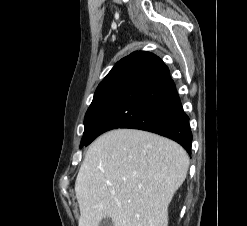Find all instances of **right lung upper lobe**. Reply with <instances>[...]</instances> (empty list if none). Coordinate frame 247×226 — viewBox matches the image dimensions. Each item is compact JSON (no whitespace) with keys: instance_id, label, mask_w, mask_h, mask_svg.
<instances>
[{"instance_id":"1","label":"right lung upper lobe","mask_w":247,"mask_h":226,"mask_svg":"<svg viewBox=\"0 0 247 226\" xmlns=\"http://www.w3.org/2000/svg\"><path fill=\"white\" fill-rule=\"evenodd\" d=\"M128 56L121 59L119 62L116 63V65L114 67H117V66H124L126 60H127Z\"/></svg>"}]
</instances>
